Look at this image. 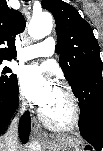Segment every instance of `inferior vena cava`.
Here are the masks:
<instances>
[{
	"mask_svg": "<svg viewBox=\"0 0 103 151\" xmlns=\"http://www.w3.org/2000/svg\"><path fill=\"white\" fill-rule=\"evenodd\" d=\"M17 120H15L8 132L1 140V147L4 146L5 151H14L15 146L17 145L18 138H17ZM2 150V149H1Z\"/></svg>",
	"mask_w": 103,
	"mask_h": 151,
	"instance_id": "602c4592",
	"label": "inferior vena cava"
}]
</instances>
